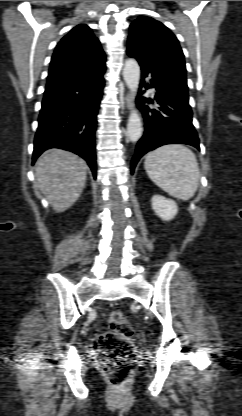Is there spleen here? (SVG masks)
I'll return each mask as SVG.
<instances>
[{
	"label": "spleen",
	"mask_w": 242,
	"mask_h": 416,
	"mask_svg": "<svg viewBox=\"0 0 242 416\" xmlns=\"http://www.w3.org/2000/svg\"><path fill=\"white\" fill-rule=\"evenodd\" d=\"M144 168L149 178L173 197L188 200L197 191L200 170L196 156L181 144H168L149 152Z\"/></svg>",
	"instance_id": "obj_1"
}]
</instances>
